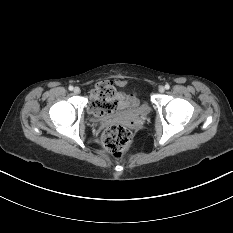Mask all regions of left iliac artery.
Wrapping results in <instances>:
<instances>
[{
    "mask_svg": "<svg viewBox=\"0 0 233 233\" xmlns=\"http://www.w3.org/2000/svg\"><path fill=\"white\" fill-rule=\"evenodd\" d=\"M169 88H170V85H169V84H166V85H165V89L168 90Z\"/></svg>",
    "mask_w": 233,
    "mask_h": 233,
    "instance_id": "1",
    "label": "left iliac artery"
}]
</instances>
